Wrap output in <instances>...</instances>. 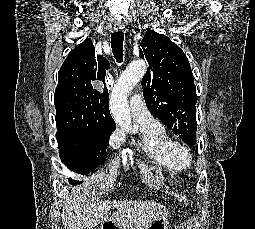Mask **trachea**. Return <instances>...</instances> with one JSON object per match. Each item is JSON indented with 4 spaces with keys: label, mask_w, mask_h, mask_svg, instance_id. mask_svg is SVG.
<instances>
[{
    "label": "trachea",
    "mask_w": 255,
    "mask_h": 229,
    "mask_svg": "<svg viewBox=\"0 0 255 229\" xmlns=\"http://www.w3.org/2000/svg\"><path fill=\"white\" fill-rule=\"evenodd\" d=\"M123 40H124V33L122 31L114 32L111 35L112 52L114 54V58L119 63L123 61Z\"/></svg>",
    "instance_id": "obj_1"
}]
</instances>
